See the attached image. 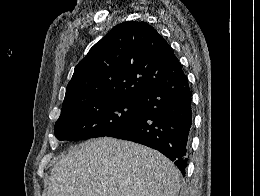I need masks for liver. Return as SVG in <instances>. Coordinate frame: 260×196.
Here are the masks:
<instances>
[{
  "instance_id": "obj_1",
  "label": "liver",
  "mask_w": 260,
  "mask_h": 196,
  "mask_svg": "<svg viewBox=\"0 0 260 196\" xmlns=\"http://www.w3.org/2000/svg\"><path fill=\"white\" fill-rule=\"evenodd\" d=\"M179 178L157 150L97 138L74 146L52 168L47 196H178Z\"/></svg>"
}]
</instances>
